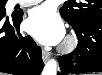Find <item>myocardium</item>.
Here are the masks:
<instances>
[{
	"label": "myocardium",
	"mask_w": 102,
	"mask_h": 75,
	"mask_svg": "<svg viewBox=\"0 0 102 75\" xmlns=\"http://www.w3.org/2000/svg\"><path fill=\"white\" fill-rule=\"evenodd\" d=\"M77 45H78L77 37L73 34H69L61 46V51L64 53H70L77 47Z\"/></svg>",
	"instance_id": "1"
}]
</instances>
